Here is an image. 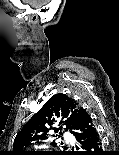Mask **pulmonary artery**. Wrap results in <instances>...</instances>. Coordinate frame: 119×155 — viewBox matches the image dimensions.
Listing matches in <instances>:
<instances>
[{"instance_id":"e3ab8cb5","label":"pulmonary artery","mask_w":119,"mask_h":155,"mask_svg":"<svg viewBox=\"0 0 119 155\" xmlns=\"http://www.w3.org/2000/svg\"><path fill=\"white\" fill-rule=\"evenodd\" d=\"M65 136H66V137H69V134H68V133H65ZM70 141H72V139H71Z\"/></svg>"}]
</instances>
